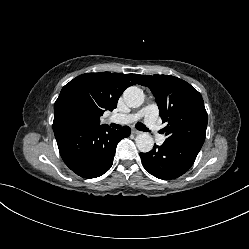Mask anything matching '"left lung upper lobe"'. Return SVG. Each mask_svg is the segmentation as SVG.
<instances>
[{
    "instance_id": "left-lung-upper-lobe-1",
    "label": "left lung upper lobe",
    "mask_w": 249,
    "mask_h": 249,
    "mask_svg": "<svg viewBox=\"0 0 249 249\" xmlns=\"http://www.w3.org/2000/svg\"><path fill=\"white\" fill-rule=\"evenodd\" d=\"M140 85L155 96L167 136L165 143H182L201 149L208 116L201 94L186 81L170 75H144Z\"/></svg>"
}]
</instances>
